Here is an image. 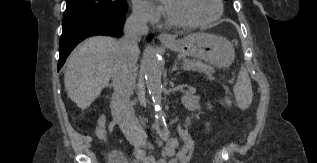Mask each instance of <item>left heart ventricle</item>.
Wrapping results in <instances>:
<instances>
[{"label": "left heart ventricle", "mask_w": 317, "mask_h": 163, "mask_svg": "<svg viewBox=\"0 0 317 163\" xmlns=\"http://www.w3.org/2000/svg\"><path fill=\"white\" fill-rule=\"evenodd\" d=\"M162 3L184 21L206 20L217 13L216 0H162Z\"/></svg>", "instance_id": "left-heart-ventricle-1"}]
</instances>
